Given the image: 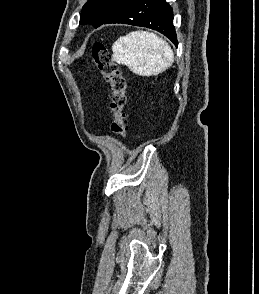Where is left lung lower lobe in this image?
Wrapping results in <instances>:
<instances>
[{
  "label": "left lung lower lobe",
  "instance_id": "1",
  "mask_svg": "<svg viewBox=\"0 0 259 294\" xmlns=\"http://www.w3.org/2000/svg\"><path fill=\"white\" fill-rule=\"evenodd\" d=\"M123 23L157 30L178 45L173 12L165 0H125L117 5L103 24ZM102 24V25H103Z\"/></svg>",
  "mask_w": 259,
  "mask_h": 294
}]
</instances>
